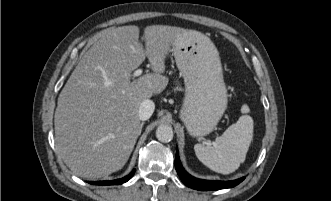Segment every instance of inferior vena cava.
Returning <instances> with one entry per match:
<instances>
[{
	"label": "inferior vena cava",
	"mask_w": 331,
	"mask_h": 201,
	"mask_svg": "<svg viewBox=\"0 0 331 201\" xmlns=\"http://www.w3.org/2000/svg\"><path fill=\"white\" fill-rule=\"evenodd\" d=\"M155 109L154 102L149 99L142 101L139 107V119L145 121L151 117Z\"/></svg>",
	"instance_id": "inferior-vena-cava-1"
}]
</instances>
